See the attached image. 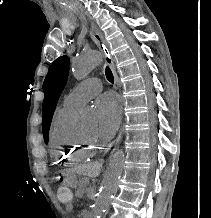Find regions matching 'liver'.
Wrapping results in <instances>:
<instances>
[{
    "mask_svg": "<svg viewBox=\"0 0 211 218\" xmlns=\"http://www.w3.org/2000/svg\"><path fill=\"white\" fill-rule=\"evenodd\" d=\"M102 168V164H88V166H83L80 172L83 176H89V178H97L100 174V170Z\"/></svg>",
    "mask_w": 211,
    "mask_h": 218,
    "instance_id": "1",
    "label": "liver"
}]
</instances>
